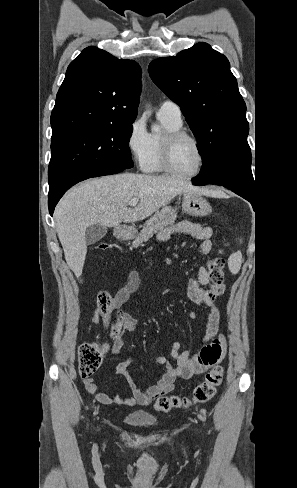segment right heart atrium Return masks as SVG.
Masks as SVG:
<instances>
[{
	"mask_svg": "<svg viewBox=\"0 0 297 488\" xmlns=\"http://www.w3.org/2000/svg\"><path fill=\"white\" fill-rule=\"evenodd\" d=\"M126 147L136 164L143 167L150 150V134L143 118H136L131 123L126 137Z\"/></svg>",
	"mask_w": 297,
	"mask_h": 488,
	"instance_id": "d8ad5b80",
	"label": "right heart atrium"
}]
</instances>
